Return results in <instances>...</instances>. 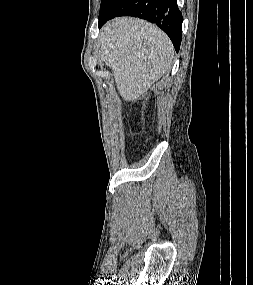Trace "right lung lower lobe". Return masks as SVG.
<instances>
[{
    "label": "right lung lower lobe",
    "instance_id": "obj_1",
    "mask_svg": "<svg viewBox=\"0 0 253 285\" xmlns=\"http://www.w3.org/2000/svg\"><path fill=\"white\" fill-rule=\"evenodd\" d=\"M177 0H113L99 16V27L118 16H134L156 23L171 39L178 52L181 44L182 14Z\"/></svg>",
    "mask_w": 253,
    "mask_h": 285
}]
</instances>
